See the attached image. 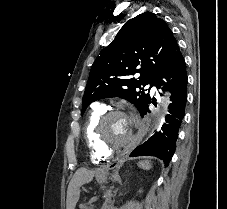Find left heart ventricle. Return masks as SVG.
Returning <instances> with one entry per match:
<instances>
[{
  "mask_svg": "<svg viewBox=\"0 0 227 209\" xmlns=\"http://www.w3.org/2000/svg\"><path fill=\"white\" fill-rule=\"evenodd\" d=\"M131 126L125 116L110 118L103 128V138L109 145H114L128 139Z\"/></svg>",
  "mask_w": 227,
  "mask_h": 209,
  "instance_id": "obj_1",
  "label": "left heart ventricle"
}]
</instances>
